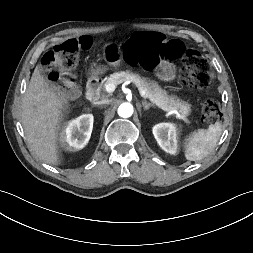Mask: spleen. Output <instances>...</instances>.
I'll use <instances>...</instances> for the list:
<instances>
[{"label":"spleen","mask_w":253,"mask_h":253,"mask_svg":"<svg viewBox=\"0 0 253 253\" xmlns=\"http://www.w3.org/2000/svg\"><path fill=\"white\" fill-rule=\"evenodd\" d=\"M222 134V124L216 122L207 130H199L184 142L185 157L189 161H200L209 155Z\"/></svg>","instance_id":"1"}]
</instances>
